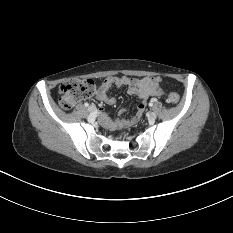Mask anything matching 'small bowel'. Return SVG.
Here are the masks:
<instances>
[{
    "mask_svg": "<svg viewBox=\"0 0 233 233\" xmlns=\"http://www.w3.org/2000/svg\"><path fill=\"white\" fill-rule=\"evenodd\" d=\"M161 78L144 77L133 78L128 76H109L101 83L96 98L106 104L113 105L116 99L112 97L108 92L112 86L127 87L129 95L137 96L140 99V103L137 106L136 112L124 120L125 123L137 121L143 114L146 103L149 97L161 96L162 90L160 88ZM100 122L107 128H114L118 125L116 121L111 119L106 113L100 114Z\"/></svg>",
    "mask_w": 233,
    "mask_h": 233,
    "instance_id": "1",
    "label": "small bowel"
}]
</instances>
